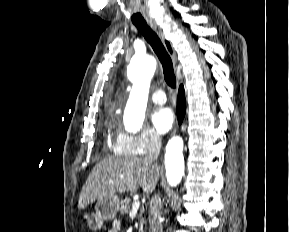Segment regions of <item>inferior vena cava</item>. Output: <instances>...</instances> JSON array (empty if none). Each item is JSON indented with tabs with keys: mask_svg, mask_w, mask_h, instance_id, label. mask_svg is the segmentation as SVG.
Returning <instances> with one entry per match:
<instances>
[{
	"mask_svg": "<svg viewBox=\"0 0 289 232\" xmlns=\"http://www.w3.org/2000/svg\"><path fill=\"white\" fill-rule=\"evenodd\" d=\"M161 138L159 135L154 134L151 136L150 146L148 154L144 160L149 163H153L157 160L161 150ZM163 201L159 193H155L150 201V214L148 217L149 221V232H163L161 214H162Z\"/></svg>",
	"mask_w": 289,
	"mask_h": 232,
	"instance_id": "1",
	"label": "inferior vena cava"
}]
</instances>
